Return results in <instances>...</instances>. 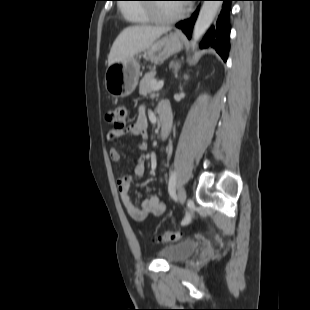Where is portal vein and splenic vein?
Returning <instances> with one entry per match:
<instances>
[{
  "label": "portal vein and splenic vein",
  "instance_id": "portal-vein-and-splenic-vein-1",
  "mask_svg": "<svg viewBox=\"0 0 310 310\" xmlns=\"http://www.w3.org/2000/svg\"><path fill=\"white\" fill-rule=\"evenodd\" d=\"M163 85H164V81L161 80L154 85L153 90L158 91V90L162 89Z\"/></svg>",
  "mask_w": 310,
  "mask_h": 310
}]
</instances>
